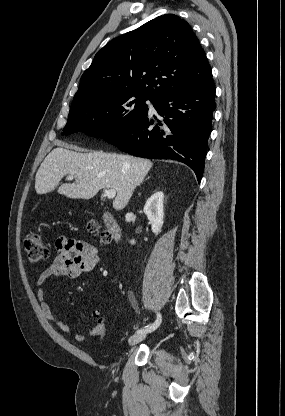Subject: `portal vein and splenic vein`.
I'll use <instances>...</instances> for the list:
<instances>
[{"label":"portal vein and splenic vein","mask_w":285,"mask_h":416,"mask_svg":"<svg viewBox=\"0 0 285 416\" xmlns=\"http://www.w3.org/2000/svg\"><path fill=\"white\" fill-rule=\"evenodd\" d=\"M68 180H74L73 176H69ZM104 196H107L109 200H112V198H115L116 196V190H104Z\"/></svg>","instance_id":"portal-vein-and-splenic-vein-1"}]
</instances>
